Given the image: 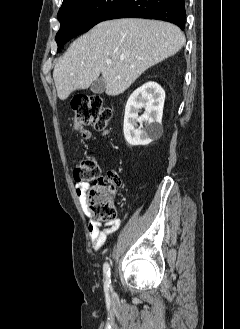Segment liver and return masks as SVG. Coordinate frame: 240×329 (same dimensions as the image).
I'll return each instance as SVG.
<instances>
[{
    "mask_svg": "<svg viewBox=\"0 0 240 329\" xmlns=\"http://www.w3.org/2000/svg\"><path fill=\"white\" fill-rule=\"evenodd\" d=\"M184 43V34L171 23L146 19L101 22L76 39L55 65L57 95L65 100L102 74L106 94L117 96L148 68L175 55Z\"/></svg>",
    "mask_w": 240,
    "mask_h": 329,
    "instance_id": "1",
    "label": "liver"
}]
</instances>
